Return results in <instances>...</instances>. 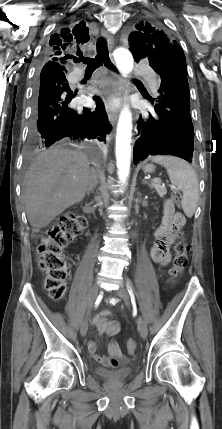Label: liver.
Instances as JSON below:
<instances>
[{"label":"liver","instance_id":"1","mask_svg":"<svg viewBox=\"0 0 222 429\" xmlns=\"http://www.w3.org/2000/svg\"><path fill=\"white\" fill-rule=\"evenodd\" d=\"M93 171L88 156L80 151L55 146L39 154L23 181L22 196L30 225L39 231L81 202Z\"/></svg>","mask_w":222,"mask_h":429}]
</instances>
